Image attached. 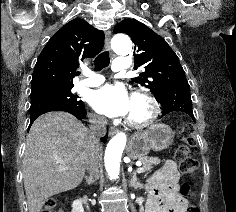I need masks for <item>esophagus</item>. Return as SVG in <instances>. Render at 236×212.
<instances>
[{"mask_svg": "<svg viewBox=\"0 0 236 212\" xmlns=\"http://www.w3.org/2000/svg\"><path fill=\"white\" fill-rule=\"evenodd\" d=\"M110 39H111V32L110 31H107L105 33V47L107 50H111L110 48ZM118 132V129L115 128V127H110L109 128V135H114Z\"/></svg>", "mask_w": 236, "mask_h": 212, "instance_id": "1", "label": "esophagus"}]
</instances>
